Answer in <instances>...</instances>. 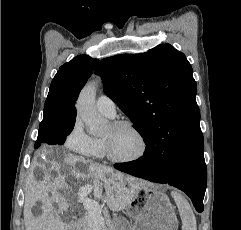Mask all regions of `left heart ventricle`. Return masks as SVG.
I'll use <instances>...</instances> for the list:
<instances>
[{
    "mask_svg": "<svg viewBox=\"0 0 241 230\" xmlns=\"http://www.w3.org/2000/svg\"><path fill=\"white\" fill-rule=\"evenodd\" d=\"M103 139H106L113 154L118 158H131L137 155L141 149L138 136L127 127L107 129Z\"/></svg>",
    "mask_w": 241,
    "mask_h": 230,
    "instance_id": "1",
    "label": "left heart ventricle"
}]
</instances>
